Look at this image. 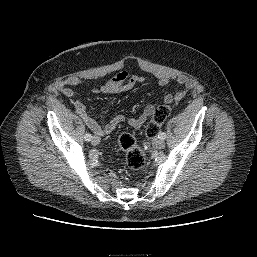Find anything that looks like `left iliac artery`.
Segmentation results:
<instances>
[{
    "instance_id": "1",
    "label": "left iliac artery",
    "mask_w": 257,
    "mask_h": 257,
    "mask_svg": "<svg viewBox=\"0 0 257 257\" xmlns=\"http://www.w3.org/2000/svg\"><path fill=\"white\" fill-rule=\"evenodd\" d=\"M158 138L164 140V139L166 138V134H165L164 132H160V133L158 134Z\"/></svg>"
}]
</instances>
